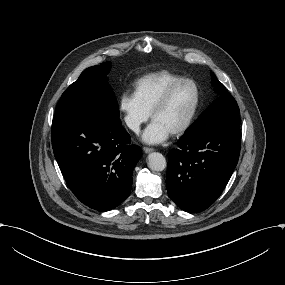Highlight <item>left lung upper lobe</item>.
Instances as JSON below:
<instances>
[{
    "mask_svg": "<svg viewBox=\"0 0 285 285\" xmlns=\"http://www.w3.org/2000/svg\"><path fill=\"white\" fill-rule=\"evenodd\" d=\"M212 81L219 97L199 116V118L187 129L184 135L193 131L196 127L202 125L206 121L218 116L229 113H239V107L233 96L227 92L222 83L218 81L215 74L212 72Z\"/></svg>",
    "mask_w": 285,
    "mask_h": 285,
    "instance_id": "left-lung-upper-lobe-1",
    "label": "left lung upper lobe"
}]
</instances>
